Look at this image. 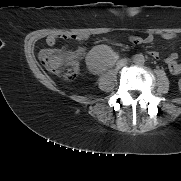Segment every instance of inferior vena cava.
Here are the masks:
<instances>
[{"mask_svg":"<svg viewBox=\"0 0 181 181\" xmlns=\"http://www.w3.org/2000/svg\"><path fill=\"white\" fill-rule=\"evenodd\" d=\"M124 63H125V64L127 63V59H124Z\"/></svg>","mask_w":181,"mask_h":181,"instance_id":"602c4592","label":"inferior vena cava"}]
</instances>
